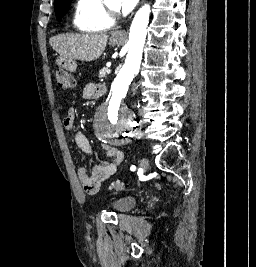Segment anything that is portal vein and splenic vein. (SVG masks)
Segmentation results:
<instances>
[{
	"label": "portal vein and splenic vein",
	"instance_id": "portal-vein-and-splenic-vein-1",
	"mask_svg": "<svg viewBox=\"0 0 256 267\" xmlns=\"http://www.w3.org/2000/svg\"><path fill=\"white\" fill-rule=\"evenodd\" d=\"M106 73H107V74H110V73H111L110 68H107Z\"/></svg>",
	"mask_w": 256,
	"mask_h": 267
}]
</instances>
